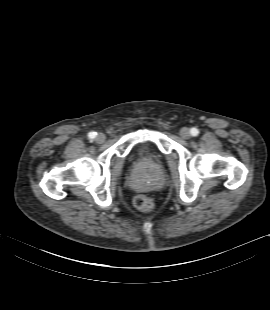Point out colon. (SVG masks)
<instances>
[{
    "mask_svg": "<svg viewBox=\"0 0 270 310\" xmlns=\"http://www.w3.org/2000/svg\"><path fill=\"white\" fill-rule=\"evenodd\" d=\"M134 204L137 209L144 213H149L155 208V201L149 195H139L135 198Z\"/></svg>",
    "mask_w": 270,
    "mask_h": 310,
    "instance_id": "5ec220e1",
    "label": "colon"
}]
</instances>
